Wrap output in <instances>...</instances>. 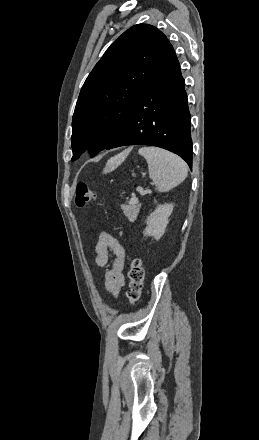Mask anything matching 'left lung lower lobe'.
<instances>
[{
	"label": "left lung lower lobe",
	"mask_w": 259,
	"mask_h": 440,
	"mask_svg": "<svg viewBox=\"0 0 259 440\" xmlns=\"http://www.w3.org/2000/svg\"><path fill=\"white\" fill-rule=\"evenodd\" d=\"M175 51L166 42L150 80L116 139L105 149L151 145L169 150L192 168L190 113Z\"/></svg>",
	"instance_id": "left-lung-lower-lobe-1"
}]
</instances>
